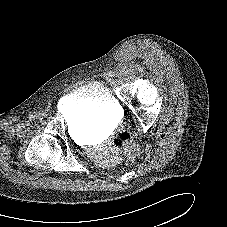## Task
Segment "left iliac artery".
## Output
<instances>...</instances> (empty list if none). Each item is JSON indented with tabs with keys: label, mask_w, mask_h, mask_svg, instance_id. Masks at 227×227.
Masks as SVG:
<instances>
[{
	"label": "left iliac artery",
	"mask_w": 227,
	"mask_h": 227,
	"mask_svg": "<svg viewBox=\"0 0 227 227\" xmlns=\"http://www.w3.org/2000/svg\"><path fill=\"white\" fill-rule=\"evenodd\" d=\"M108 75H109L110 77H114V76H115V73L112 72V71H109Z\"/></svg>",
	"instance_id": "44dca946"
}]
</instances>
